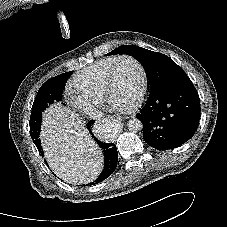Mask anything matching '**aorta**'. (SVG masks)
<instances>
[{
  "instance_id": "1",
  "label": "aorta",
  "mask_w": 227,
  "mask_h": 227,
  "mask_svg": "<svg viewBox=\"0 0 227 227\" xmlns=\"http://www.w3.org/2000/svg\"><path fill=\"white\" fill-rule=\"evenodd\" d=\"M127 127L130 132L137 133L142 130L143 124L139 119L132 118L128 121ZM106 128H107L108 132H111L114 130L115 125L113 122L109 121L106 123Z\"/></svg>"
}]
</instances>
